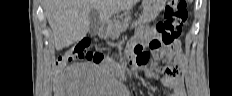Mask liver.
<instances>
[{"instance_id":"1","label":"liver","mask_w":232,"mask_h":96,"mask_svg":"<svg viewBox=\"0 0 232 96\" xmlns=\"http://www.w3.org/2000/svg\"><path fill=\"white\" fill-rule=\"evenodd\" d=\"M138 0H45L44 9L52 29L56 50L83 39L89 31V13L95 8L100 20L135 5Z\"/></svg>"}]
</instances>
